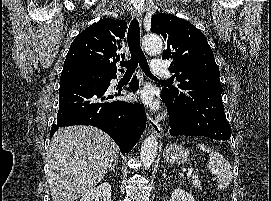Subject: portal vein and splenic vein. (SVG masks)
I'll return each mask as SVG.
<instances>
[{
  "instance_id": "obj_1",
  "label": "portal vein and splenic vein",
  "mask_w": 271,
  "mask_h": 201,
  "mask_svg": "<svg viewBox=\"0 0 271 201\" xmlns=\"http://www.w3.org/2000/svg\"><path fill=\"white\" fill-rule=\"evenodd\" d=\"M192 178V179H198L199 178V176L198 175H196V174H192V175H188V178Z\"/></svg>"
}]
</instances>
